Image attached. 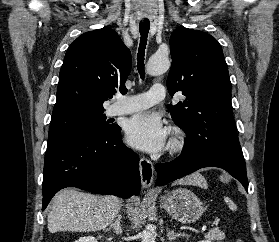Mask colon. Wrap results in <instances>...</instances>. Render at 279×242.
<instances>
[{
	"label": "colon",
	"instance_id": "obj_1",
	"mask_svg": "<svg viewBox=\"0 0 279 242\" xmlns=\"http://www.w3.org/2000/svg\"><path fill=\"white\" fill-rule=\"evenodd\" d=\"M235 242H244L242 239H236Z\"/></svg>",
	"mask_w": 279,
	"mask_h": 242
}]
</instances>
